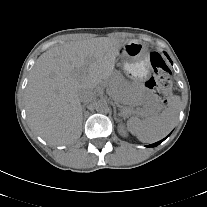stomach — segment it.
<instances>
[{
	"label": "stomach",
	"instance_id": "stomach-1",
	"mask_svg": "<svg viewBox=\"0 0 207 207\" xmlns=\"http://www.w3.org/2000/svg\"><path fill=\"white\" fill-rule=\"evenodd\" d=\"M118 57L122 61V67L127 75L142 82L147 79L151 72L149 53L144 44L130 42L121 47ZM121 92L120 102L123 104L120 115L127 116L130 113H140L148 101V94L145 89L139 88L133 91L128 90L122 80L118 82Z\"/></svg>",
	"mask_w": 207,
	"mask_h": 207
}]
</instances>
